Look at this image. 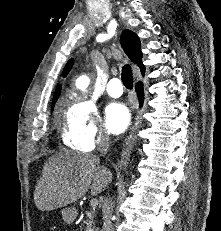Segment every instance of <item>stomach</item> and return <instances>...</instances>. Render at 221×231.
<instances>
[{
    "mask_svg": "<svg viewBox=\"0 0 221 231\" xmlns=\"http://www.w3.org/2000/svg\"><path fill=\"white\" fill-rule=\"evenodd\" d=\"M61 214L64 222L70 224L76 219L77 211L74 207H65L62 209Z\"/></svg>",
    "mask_w": 221,
    "mask_h": 231,
    "instance_id": "stomach-1",
    "label": "stomach"
}]
</instances>
